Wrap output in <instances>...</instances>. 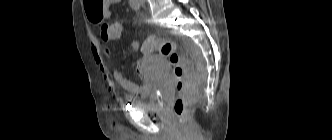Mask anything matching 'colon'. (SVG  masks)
Returning a JSON list of instances; mask_svg holds the SVG:
<instances>
[{
    "label": "colon",
    "mask_w": 332,
    "mask_h": 140,
    "mask_svg": "<svg viewBox=\"0 0 332 140\" xmlns=\"http://www.w3.org/2000/svg\"><path fill=\"white\" fill-rule=\"evenodd\" d=\"M106 0H84V6L90 20L99 22L103 19ZM125 31L123 22L104 23L101 33L114 40L119 39ZM143 53L158 52L169 59L175 79L176 98L174 112L180 124H184L195 104L193 96V75L186 55L176 50L175 44L169 39L156 36L148 37L141 46Z\"/></svg>",
    "instance_id": "obj_1"
}]
</instances>
